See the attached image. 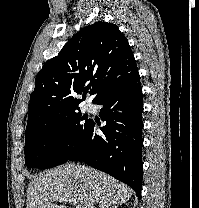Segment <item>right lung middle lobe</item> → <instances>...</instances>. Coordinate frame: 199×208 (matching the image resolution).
I'll return each mask as SVG.
<instances>
[{"instance_id": "1", "label": "right lung middle lobe", "mask_w": 199, "mask_h": 208, "mask_svg": "<svg viewBox=\"0 0 199 208\" xmlns=\"http://www.w3.org/2000/svg\"><path fill=\"white\" fill-rule=\"evenodd\" d=\"M85 119L78 109L26 133L27 167L52 168L68 161L91 122Z\"/></svg>"}]
</instances>
